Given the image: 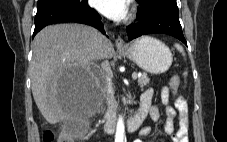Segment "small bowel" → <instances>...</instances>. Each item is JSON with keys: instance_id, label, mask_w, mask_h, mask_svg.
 I'll list each match as a JSON object with an SVG mask.
<instances>
[{"instance_id": "1", "label": "small bowel", "mask_w": 227, "mask_h": 142, "mask_svg": "<svg viewBox=\"0 0 227 142\" xmlns=\"http://www.w3.org/2000/svg\"><path fill=\"white\" fill-rule=\"evenodd\" d=\"M153 90L147 89L141 95V104L145 105L148 108V112L151 118L156 121H163L164 131L166 134L171 136L172 142H189L188 138V129H189V119H188V110L185 101L178 97L175 101L174 108L169 106V89L164 88L161 92V99L165 108V115L162 117L159 110L156 106L152 105ZM178 112V129L175 131L174 120ZM151 136L150 128H143L140 132V139L135 140L134 142H144Z\"/></svg>"}]
</instances>
